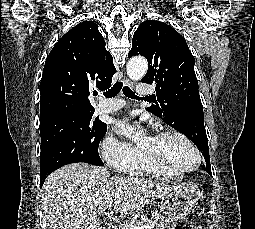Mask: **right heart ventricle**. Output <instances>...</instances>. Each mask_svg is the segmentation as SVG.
<instances>
[{
  "label": "right heart ventricle",
  "mask_w": 255,
  "mask_h": 229,
  "mask_svg": "<svg viewBox=\"0 0 255 229\" xmlns=\"http://www.w3.org/2000/svg\"><path fill=\"white\" fill-rule=\"evenodd\" d=\"M122 171L131 175L141 176H171L150 164L140 152L135 159L126 164Z\"/></svg>",
  "instance_id": "right-heart-ventricle-1"
}]
</instances>
